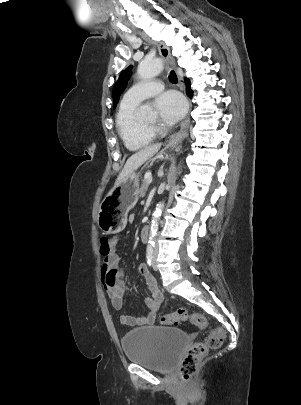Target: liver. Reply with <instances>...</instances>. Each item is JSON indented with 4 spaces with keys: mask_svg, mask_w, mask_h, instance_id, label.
I'll use <instances>...</instances> for the list:
<instances>
[{
    "mask_svg": "<svg viewBox=\"0 0 301 405\" xmlns=\"http://www.w3.org/2000/svg\"><path fill=\"white\" fill-rule=\"evenodd\" d=\"M161 146V143L147 146L129 157L115 184H119L124 178L134 173L142 164L153 157L160 150Z\"/></svg>",
    "mask_w": 301,
    "mask_h": 405,
    "instance_id": "liver-1",
    "label": "liver"
}]
</instances>
